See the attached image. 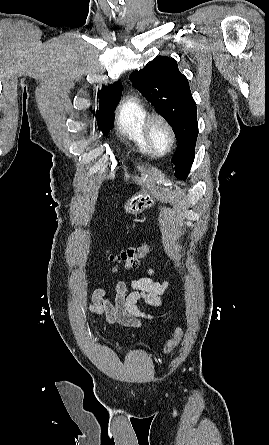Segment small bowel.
Instances as JSON below:
<instances>
[{
  "instance_id": "1",
  "label": "small bowel",
  "mask_w": 269,
  "mask_h": 445,
  "mask_svg": "<svg viewBox=\"0 0 269 445\" xmlns=\"http://www.w3.org/2000/svg\"><path fill=\"white\" fill-rule=\"evenodd\" d=\"M155 268H149L147 275L132 280L128 291L127 284L120 280L115 286V303L107 298V290L96 289L93 292L89 310L94 315H104L110 324H119L128 328H137L143 321L152 320L153 315L140 309L138 303L143 301L149 306L163 305V294L169 287V281H156Z\"/></svg>"
}]
</instances>
